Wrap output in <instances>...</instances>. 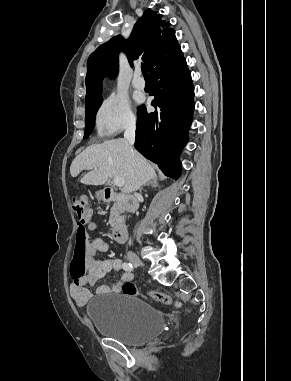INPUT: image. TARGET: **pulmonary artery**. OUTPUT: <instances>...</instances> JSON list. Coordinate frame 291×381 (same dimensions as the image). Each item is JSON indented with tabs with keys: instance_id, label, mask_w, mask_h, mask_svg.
<instances>
[{
	"instance_id": "1",
	"label": "pulmonary artery",
	"mask_w": 291,
	"mask_h": 381,
	"mask_svg": "<svg viewBox=\"0 0 291 381\" xmlns=\"http://www.w3.org/2000/svg\"><path fill=\"white\" fill-rule=\"evenodd\" d=\"M132 85L137 90H143L145 88V81L141 77L140 71H136L132 80Z\"/></svg>"
}]
</instances>
